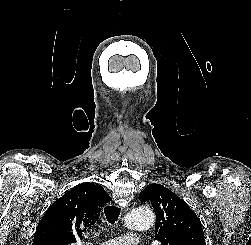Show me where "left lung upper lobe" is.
<instances>
[{
  "instance_id": "1",
  "label": "left lung upper lobe",
  "mask_w": 251,
  "mask_h": 245,
  "mask_svg": "<svg viewBox=\"0 0 251 245\" xmlns=\"http://www.w3.org/2000/svg\"><path fill=\"white\" fill-rule=\"evenodd\" d=\"M139 200L153 206L155 239L162 245H206L200 220L171 190L160 184H150Z\"/></svg>"
}]
</instances>
